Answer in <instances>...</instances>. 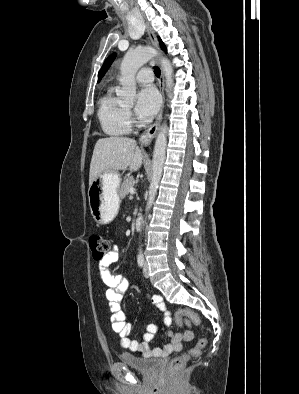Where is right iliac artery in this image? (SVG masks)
<instances>
[{
	"mask_svg": "<svg viewBox=\"0 0 299 394\" xmlns=\"http://www.w3.org/2000/svg\"><path fill=\"white\" fill-rule=\"evenodd\" d=\"M137 262H138L139 267L142 268L145 263L144 257L143 256L138 257Z\"/></svg>",
	"mask_w": 299,
	"mask_h": 394,
	"instance_id": "obj_1",
	"label": "right iliac artery"
}]
</instances>
